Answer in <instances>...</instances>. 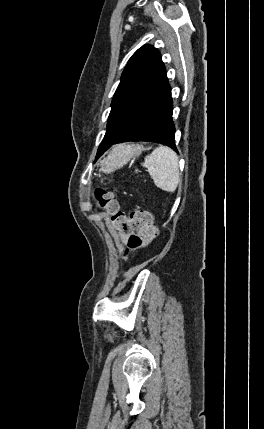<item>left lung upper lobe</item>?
Masks as SVG:
<instances>
[{
  "mask_svg": "<svg viewBox=\"0 0 264 429\" xmlns=\"http://www.w3.org/2000/svg\"><path fill=\"white\" fill-rule=\"evenodd\" d=\"M165 74V66L156 48L144 45L132 55L112 99L106 134L99 149L107 147L121 135L139 103Z\"/></svg>",
  "mask_w": 264,
  "mask_h": 429,
  "instance_id": "left-lung-upper-lobe-1",
  "label": "left lung upper lobe"
}]
</instances>
